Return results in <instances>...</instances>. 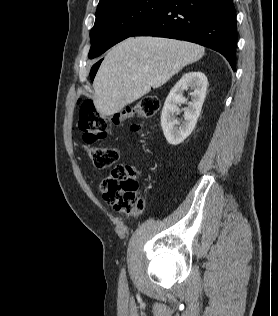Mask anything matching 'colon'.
Returning a JSON list of instances; mask_svg holds the SVG:
<instances>
[{
	"instance_id": "obj_1",
	"label": "colon",
	"mask_w": 278,
	"mask_h": 316,
	"mask_svg": "<svg viewBox=\"0 0 278 316\" xmlns=\"http://www.w3.org/2000/svg\"><path fill=\"white\" fill-rule=\"evenodd\" d=\"M160 101L156 96L148 95L132 109L107 118L99 114L92 101L83 100L79 109V129L87 144L88 154L95 167L112 168L101 183L103 199L115 210L136 216L144 208V200L139 194V181L135 170L129 165H116L120 158V150L116 146H93L105 138L114 125H120L128 119H147L157 114ZM138 130L137 126H133Z\"/></svg>"
}]
</instances>
